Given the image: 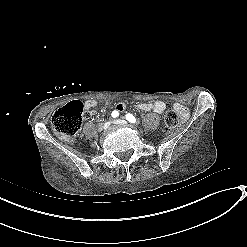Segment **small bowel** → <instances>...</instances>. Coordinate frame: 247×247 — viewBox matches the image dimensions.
Masks as SVG:
<instances>
[{
    "label": "small bowel",
    "instance_id": "c3829d8e",
    "mask_svg": "<svg viewBox=\"0 0 247 247\" xmlns=\"http://www.w3.org/2000/svg\"><path fill=\"white\" fill-rule=\"evenodd\" d=\"M98 105V102L96 100H87L83 103V109L85 112H90L91 109L95 108ZM136 109L142 112H154L156 114H163L165 111V104L162 101H154V102H147V103H139L136 106ZM125 109V104L124 103H118L115 107V110L119 113L123 112ZM175 109L179 113L180 119L184 120L188 116V111L187 109L177 103L175 105Z\"/></svg>",
    "mask_w": 247,
    "mask_h": 247
}]
</instances>
